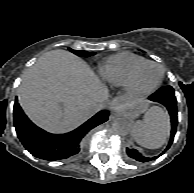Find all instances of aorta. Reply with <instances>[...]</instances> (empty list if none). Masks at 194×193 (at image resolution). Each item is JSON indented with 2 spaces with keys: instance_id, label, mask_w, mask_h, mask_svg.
<instances>
[{
  "instance_id": "762f6f07",
  "label": "aorta",
  "mask_w": 194,
  "mask_h": 193,
  "mask_svg": "<svg viewBox=\"0 0 194 193\" xmlns=\"http://www.w3.org/2000/svg\"><path fill=\"white\" fill-rule=\"evenodd\" d=\"M113 131L121 136H125L130 132V124L127 120L119 118L112 124Z\"/></svg>"
}]
</instances>
